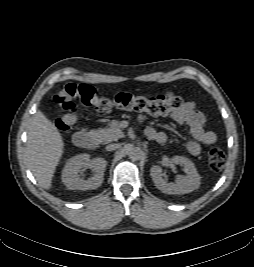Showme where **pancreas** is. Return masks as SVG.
Masks as SVG:
<instances>
[{"instance_id":"pancreas-1","label":"pancreas","mask_w":254,"mask_h":267,"mask_svg":"<svg viewBox=\"0 0 254 267\" xmlns=\"http://www.w3.org/2000/svg\"><path fill=\"white\" fill-rule=\"evenodd\" d=\"M93 137L100 143H108L116 141L122 137V131L119 127V121L113 120L109 126L104 129H97L92 131Z\"/></svg>"}]
</instances>
